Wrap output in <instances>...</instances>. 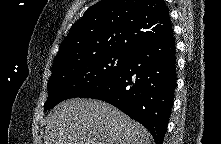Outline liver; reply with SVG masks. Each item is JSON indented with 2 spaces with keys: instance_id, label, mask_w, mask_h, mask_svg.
<instances>
[{
  "instance_id": "6515ba94",
  "label": "liver",
  "mask_w": 221,
  "mask_h": 144,
  "mask_svg": "<svg viewBox=\"0 0 221 144\" xmlns=\"http://www.w3.org/2000/svg\"><path fill=\"white\" fill-rule=\"evenodd\" d=\"M149 136L116 107L76 98L59 103L48 115L45 144H150Z\"/></svg>"
}]
</instances>
